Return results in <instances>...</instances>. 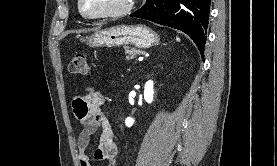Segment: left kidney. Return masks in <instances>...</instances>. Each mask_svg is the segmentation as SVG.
<instances>
[{
    "mask_svg": "<svg viewBox=\"0 0 277 166\" xmlns=\"http://www.w3.org/2000/svg\"><path fill=\"white\" fill-rule=\"evenodd\" d=\"M153 81L149 80L146 82L144 87V99L147 103H152L154 96ZM134 123V119L128 117L125 121L126 126L131 127Z\"/></svg>",
    "mask_w": 277,
    "mask_h": 166,
    "instance_id": "obj_1",
    "label": "left kidney"
}]
</instances>
